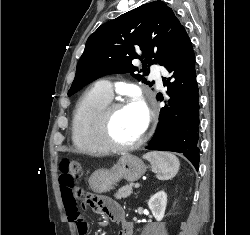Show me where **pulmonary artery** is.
Returning <instances> with one entry per match:
<instances>
[{
	"label": "pulmonary artery",
	"instance_id": "pulmonary-artery-1",
	"mask_svg": "<svg viewBox=\"0 0 250 235\" xmlns=\"http://www.w3.org/2000/svg\"><path fill=\"white\" fill-rule=\"evenodd\" d=\"M151 78H153L159 88H163V82L161 79V74L158 69H153L151 72ZM96 87L104 94L112 97L113 94V87L112 83L108 80H101L96 83Z\"/></svg>",
	"mask_w": 250,
	"mask_h": 235
}]
</instances>
